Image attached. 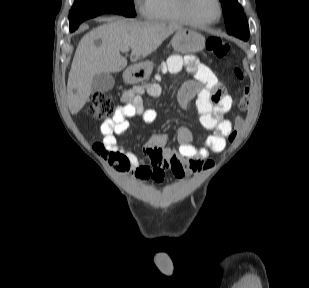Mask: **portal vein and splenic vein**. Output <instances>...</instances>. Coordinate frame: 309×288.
I'll return each instance as SVG.
<instances>
[{"mask_svg":"<svg viewBox=\"0 0 309 288\" xmlns=\"http://www.w3.org/2000/svg\"><path fill=\"white\" fill-rule=\"evenodd\" d=\"M121 51H122V52H128V51H129V47H124V48H122Z\"/></svg>","mask_w":309,"mask_h":288,"instance_id":"obj_1","label":"portal vein and splenic vein"}]
</instances>
